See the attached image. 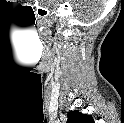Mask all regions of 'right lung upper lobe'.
Returning a JSON list of instances; mask_svg holds the SVG:
<instances>
[{"mask_svg":"<svg viewBox=\"0 0 124 123\" xmlns=\"http://www.w3.org/2000/svg\"><path fill=\"white\" fill-rule=\"evenodd\" d=\"M67 123H92L93 118L91 115L82 114L79 111H71L67 115Z\"/></svg>","mask_w":124,"mask_h":123,"instance_id":"right-lung-upper-lobe-1","label":"right lung upper lobe"}]
</instances>
